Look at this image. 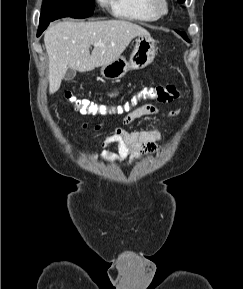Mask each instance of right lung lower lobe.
I'll return each instance as SVG.
<instances>
[{"mask_svg": "<svg viewBox=\"0 0 243 289\" xmlns=\"http://www.w3.org/2000/svg\"><path fill=\"white\" fill-rule=\"evenodd\" d=\"M59 18H62V17L56 16V17L50 18V19L40 17V25H39V29L37 32V36H39L46 29V27L49 25V23L51 21H54V20L59 19Z\"/></svg>", "mask_w": 243, "mask_h": 289, "instance_id": "obj_1", "label": "right lung lower lobe"}]
</instances>
